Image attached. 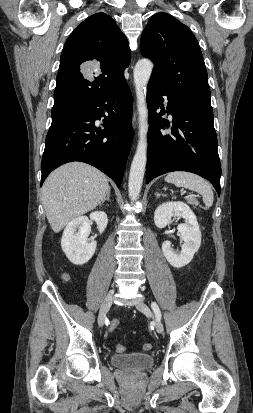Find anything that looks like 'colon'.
I'll return each instance as SVG.
<instances>
[{
	"label": "colon",
	"mask_w": 253,
	"mask_h": 413,
	"mask_svg": "<svg viewBox=\"0 0 253 413\" xmlns=\"http://www.w3.org/2000/svg\"><path fill=\"white\" fill-rule=\"evenodd\" d=\"M119 325H120V321H119L118 319H113V320L110 322V324H109V330H110V331H114V330H116V329L119 327ZM143 349H144L145 351L151 350V349H152V344H151V343H145V344L143 345ZM116 350H117L118 352H124V351H125V347H124L123 345H117V346H116Z\"/></svg>",
	"instance_id": "1"
}]
</instances>
